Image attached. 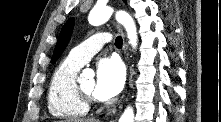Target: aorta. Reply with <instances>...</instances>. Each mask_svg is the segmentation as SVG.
I'll return each mask as SVG.
<instances>
[{
	"label": "aorta",
	"instance_id": "aorta-1",
	"mask_svg": "<svg viewBox=\"0 0 221 122\" xmlns=\"http://www.w3.org/2000/svg\"><path fill=\"white\" fill-rule=\"evenodd\" d=\"M113 12V8L109 6H95L89 14L88 21L93 26L101 25L110 19ZM116 20L124 26L129 43L133 48H136L137 29L133 18L125 11H117ZM119 122H134V111L131 106L124 110Z\"/></svg>",
	"mask_w": 221,
	"mask_h": 122
}]
</instances>
